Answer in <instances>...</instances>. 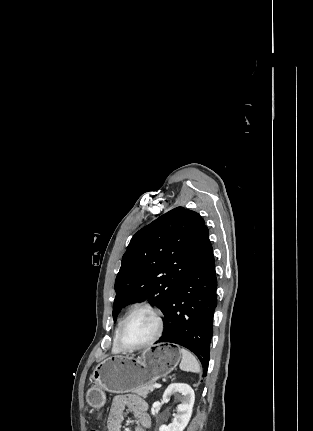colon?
I'll return each mask as SVG.
<instances>
[{"mask_svg": "<svg viewBox=\"0 0 313 431\" xmlns=\"http://www.w3.org/2000/svg\"><path fill=\"white\" fill-rule=\"evenodd\" d=\"M90 431H99V430H97V429H92V430H90Z\"/></svg>", "mask_w": 313, "mask_h": 431, "instance_id": "1", "label": "colon"}]
</instances>
